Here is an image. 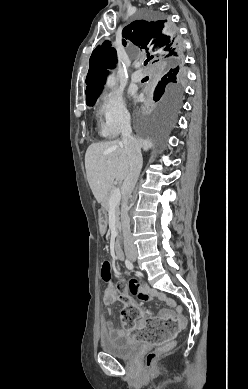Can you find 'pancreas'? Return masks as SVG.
Masks as SVG:
<instances>
[{"instance_id": "cf45deb5", "label": "pancreas", "mask_w": 248, "mask_h": 389, "mask_svg": "<svg viewBox=\"0 0 248 389\" xmlns=\"http://www.w3.org/2000/svg\"><path fill=\"white\" fill-rule=\"evenodd\" d=\"M114 190H115V186L112 185V186L110 187V189H109V191H108L106 197L104 198V200H103V202H102V212H103V214L105 215V217L107 216V212H108V210H109V208H110L109 200H110V198H111V196H112ZM115 212H116V228H117L118 231H120V222H119V213H120V211H119V203L116 204V206H115Z\"/></svg>"}]
</instances>
